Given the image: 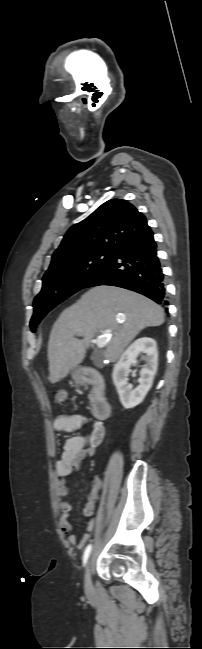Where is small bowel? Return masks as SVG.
I'll list each match as a JSON object with an SVG mask.
<instances>
[{
  "instance_id": "small-bowel-1",
  "label": "small bowel",
  "mask_w": 202,
  "mask_h": 649,
  "mask_svg": "<svg viewBox=\"0 0 202 649\" xmlns=\"http://www.w3.org/2000/svg\"><path fill=\"white\" fill-rule=\"evenodd\" d=\"M88 421L89 419L83 414L59 415L54 419L53 427L56 431L60 432H74ZM104 436L105 428L103 423L99 420H93L91 423V432L87 437L75 435L66 440L62 455L56 465V489L61 511L60 528L68 536L69 543L72 545L77 544L78 549H82L89 540V532L93 528L94 520L90 519L88 521L84 533L77 535L72 532V525L69 521L72 506L67 500V479L78 468L83 459L94 455L96 447L102 442ZM101 487L102 482L100 478L95 476L92 480L91 491L87 496V503L83 509V515L85 517H91L94 514Z\"/></svg>"
}]
</instances>
